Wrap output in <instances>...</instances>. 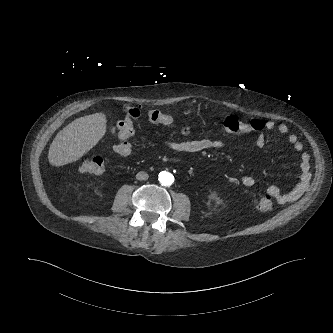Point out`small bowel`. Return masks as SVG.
<instances>
[{
  "label": "small bowel",
  "instance_id": "c3829d8e",
  "mask_svg": "<svg viewBox=\"0 0 333 333\" xmlns=\"http://www.w3.org/2000/svg\"><path fill=\"white\" fill-rule=\"evenodd\" d=\"M265 130L275 131L281 135L288 134L289 128L286 124L276 123L275 121H267L265 124ZM223 132H229L225 127H223ZM261 130L256 136L252 144L247 147L248 151H258L261 150L266 144V132ZM112 134H117L118 143L114 147V150L121 156H128L132 152V145L129 142L130 137H124L118 134L117 125L113 128ZM288 142L293 147V149L299 153V165L302 175L301 182L290 191H282L276 186H269L266 189V194L268 197L273 198L279 205H284L297 200L304 190V183L308 177L310 169V157L303 151V144L298 139L295 134H289ZM159 144L167 150L177 152V153H193L199 152L207 149H222L226 145V141L220 139H209L203 138L198 140L189 141H172L161 139ZM242 185L246 187H251L255 184V178L251 175H243L240 179Z\"/></svg>",
  "mask_w": 333,
  "mask_h": 333
}]
</instances>
